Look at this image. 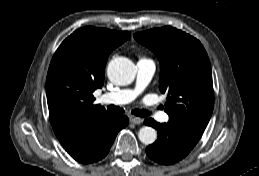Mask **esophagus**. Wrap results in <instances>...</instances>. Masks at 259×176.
I'll return each mask as SVG.
<instances>
[{
  "instance_id": "esophagus-1",
  "label": "esophagus",
  "mask_w": 259,
  "mask_h": 176,
  "mask_svg": "<svg viewBox=\"0 0 259 176\" xmlns=\"http://www.w3.org/2000/svg\"><path fill=\"white\" fill-rule=\"evenodd\" d=\"M142 121H143V120H142L141 118H139V117H134V116H131V117H130V122L133 123V124H135V125L141 124Z\"/></svg>"
}]
</instances>
